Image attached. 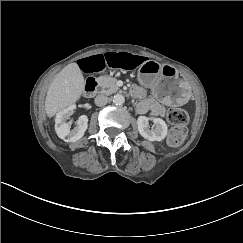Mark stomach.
Segmentation results:
<instances>
[{
    "mask_svg": "<svg viewBox=\"0 0 243 243\" xmlns=\"http://www.w3.org/2000/svg\"><path fill=\"white\" fill-rule=\"evenodd\" d=\"M138 81L150 88L156 98L168 106H181L188 102L191 90L185 78L171 65L155 61L145 62L138 70Z\"/></svg>",
    "mask_w": 243,
    "mask_h": 243,
    "instance_id": "0dacf381",
    "label": "stomach"
}]
</instances>
